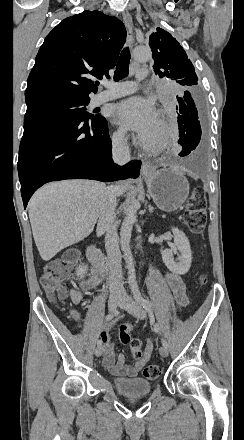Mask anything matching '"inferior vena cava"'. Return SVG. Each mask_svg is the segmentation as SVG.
Returning <instances> with one entry per match:
<instances>
[{
	"label": "inferior vena cava",
	"mask_w": 244,
	"mask_h": 440,
	"mask_svg": "<svg viewBox=\"0 0 244 440\" xmlns=\"http://www.w3.org/2000/svg\"><path fill=\"white\" fill-rule=\"evenodd\" d=\"M112 158L119 166H124V164L129 162V146H126L124 134H120L118 138L113 140ZM116 196V188H113V186L105 188L97 228L98 230L106 232L105 248L108 256L110 294H124L121 252L119 250V238L115 226Z\"/></svg>",
	"instance_id": "1"
}]
</instances>
